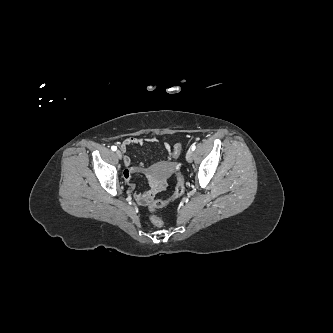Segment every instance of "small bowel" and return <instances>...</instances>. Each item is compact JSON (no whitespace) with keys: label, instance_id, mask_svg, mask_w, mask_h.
Here are the masks:
<instances>
[{"label":"small bowel","instance_id":"small-bowel-1","mask_svg":"<svg viewBox=\"0 0 333 333\" xmlns=\"http://www.w3.org/2000/svg\"><path fill=\"white\" fill-rule=\"evenodd\" d=\"M146 142L154 143L155 138H137V137H127L121 145V149L126 151L131 145H143ZM165 150L172 157L171 145L169 143H164ZM124 164L126 169L124 170V179L129 184V186L134 189V183L132 182V174L136 172H143L148 176L149 179V190L143 193L135 192L134 198L140 205H146L153 200L155 195L162 191L166 187V181L160 177L159 174H164L170 171L173 167L170 162H159L152 166H145L141 164L139 166H133L129 156H125Z\"/></svg>","mask_w":333,"mask_h":333}]
</instances>
